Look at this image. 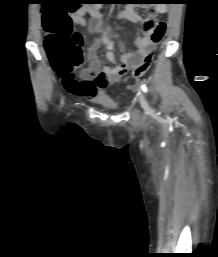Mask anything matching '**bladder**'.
I'll use <instances>...</instances> for the list:
<instances>
[{
    "label": "bladder",
    "mask_w": 218,
    "mask_h": 257,
    "mask_svg": "<svg viewBox=\"0 0 218 257\" xmlns=\"http://www.w3.org/2000/svg\"><path fill=\"white\" fill-rule=\"evenodd\" d=\"M96 104H98L99 106H102L103 108L107 109V110H117L118 107L110 102L109 100L105 99V98H99L95 101Z\"/></svg>",
    "instance_id": "31cf9c89"
}]
</instances>
